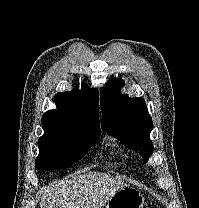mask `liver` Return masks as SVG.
<instances>
[{"mask_svg":"<svg viewBox=\"0 0 199 208\" xmlns=\"http://www.w3.org/2000/svg\"><path fill=\"white\" fill-rule=\"evenodd\" d=\"M124 181L103 172H87L53 183L44 189L40 208H101Z\"/></svg>","mask_w":199,"mask_h":208,"instance_id":"6515ba94","label":"liver"}]
</instances>
